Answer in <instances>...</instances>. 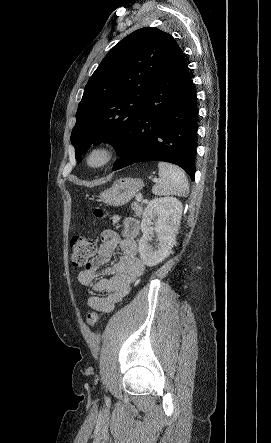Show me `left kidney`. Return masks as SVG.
I'll list each match as a JSON object with an SVG mask.
<instances>
[{"instance_id":"5707ae66","label":"left kidney","mask_w":271,"mask_h":443,"mask_svg":"<svg viewBox=\"0 0 271 443\" xmlns=\"http://www.w3.org/2000/svg\"><path fill=\"white\" fill-rule=\"evenodd\" d=\"M182 210L183 206L176 198H155L149 202L143 212V235L139 241V253L145 265L153 267L171 253L176 243L175 235L178 233ZM152 235L157 237L155 247L152 245Z\"/></svg>"}]
</instances>
